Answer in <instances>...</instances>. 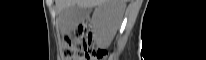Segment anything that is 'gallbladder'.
Wrapping results in <instances>:
<instances>
[{
	"instance_id": "obj_1",
	"label": "gallbladder",
	"mask_w": 206,
	"mask_h": 60,
	"mask_svg": "<svg viewBox=\"0 0 206 60\" xmlns=\"http://www.w3.org/2000/svg\"><path fill=\"white\" fill-rule=\"evenodd\" d=\"M87 13V8L71 5L60 12L58 19L59 24L67 32H70L86 17Z\"/></svg>"
}]
</instances>
